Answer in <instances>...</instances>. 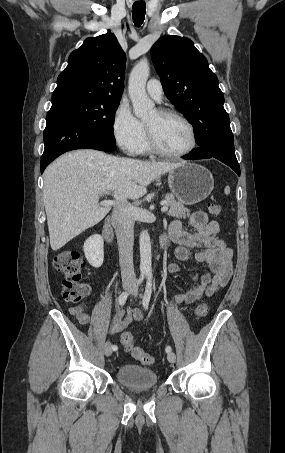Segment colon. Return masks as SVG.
I'll return each instance as SVG.
<instances>
[{
    "label": "colon",
    "mask_w": 285,
    "mask_h": 453,
    "mask_svg": "<svg viewBox=\"0 0 285 453\" xmlns=\"http://www.w3.org/2000/svg\"><path fill=\"white\" fill-rule=\"evenodd\" d=\"M208 209L214 217H219L222 213L221 206L217 204L210 203ZM53 265L63 275L62 291L64 298L76 304V309L83 311L89 290L81 283L84 267L82 257L74 251H62L54 258ZM208 311V304L204 301L200 302L195 308V317L201 319L208 314ZM120 339L125 350L132 357L144 365L154 363V357L135 344L134 337L130 332H123Z\"/></svg>",
    "instance_id": "obj_1"
}]
</instances>
